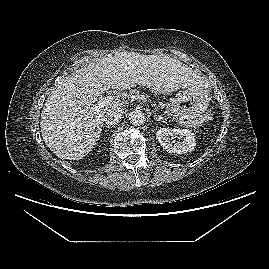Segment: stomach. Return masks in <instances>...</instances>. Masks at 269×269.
Returning <instances> with one entry per match:
<instances>
[{"label": "stomach", "mask_w": 269, "mask_h": 269, "mask_svg": "<svg viewBox=\"0 0 269 269\" xmlns=\"http://www.w3.org/2000/svg\"><path fill=\"white\" fill-rule=\"evenodd\" d=\"M210 101V95L204 84L180 88L178 95L171 101L172 113L190 125L200 122Z\"/></svg>", "instance_id": "0dacf381"}]
</instances>
